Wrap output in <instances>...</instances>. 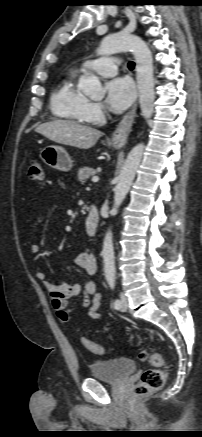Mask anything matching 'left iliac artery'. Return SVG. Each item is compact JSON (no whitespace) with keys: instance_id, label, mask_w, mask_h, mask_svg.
I'll return each instance as SVG.
<instances>
[{"instance_id":"1","label":"left iliac artery","mask_w":202,"mask_h":437,"mask_svg":"<svg viewBox=\"0 0 202 437\" xmlns=\"http://www.w3.org/2000/svg\"><path fill=\"white\" fill-rule=\"evenodd\" d=\"M107 282L109 284V287L111 288V290L115 289V278L114 277H108L107 278ZM114 308L115 309H119L120 308V301L118 299H116L114 301Z\"/></svg>"}]
</instances>
